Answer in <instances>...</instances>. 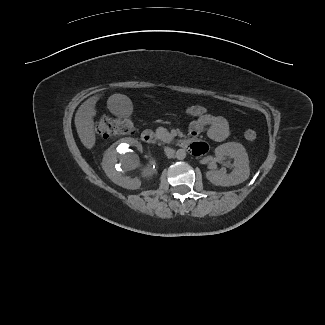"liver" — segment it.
Masks as SVG:
<instances>
[{
	"mask_svg": "<svg viewBox=\"0 0 325 325\" xmlns=\"http://www.w3.org/2000/svg\"><path fill=\"white\" fill-rule=\"evenodd\" d=\"M100 95H94L88 98L78 108L75 114V126L77 129L78 136L82 144L87 149H92L96 143V134L94 130V117L97 114L96 103L100 99ZM128 101L132 104L131 100L123 94H113L109 97L108 103L114 107L119 102ZM109 109V108H108Z\"/></svg>",
	"mask_w": 325,
	"mask_h": 325,
	"instance_id": "obj_1",
	"label": "liver"
}]
</instances>
